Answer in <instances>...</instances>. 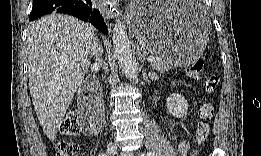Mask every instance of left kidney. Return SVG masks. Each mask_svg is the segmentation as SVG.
I'll return each mask as SVG.
<instances>
[{"label": "left kidney", "mask_w": 261, "mask_h": 156, "mask_svg": "<svg viewBox=\"0 0 261 156\" xmlns=\"http://www.w3.org/2000/svg\"><path fill=\"white\" fill-rule=\"evenodd\" d=\"M166 106L168 112L176 118H183L188 111L187 101L178 93H174L167 98Z\"/></svg>", "instance_id": "1"}]
</instances>
